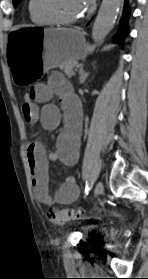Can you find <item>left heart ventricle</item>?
<instances>
[{
	"label": "left heart ventricle",
	"mask_w": 148,
	"mask_h": 279,
	"mask_svg": "<svg viewBox=\"0 0 148 279\" xmlns=\"http://www.w3.org/2000/svg\"><path fill=\"white\" fill-rule=\"evenodd\" d=\"M41 7L55 13L62 18H74L81 16L83 10L80 0H40Z\"/></svg>",
	"instance_id": "b2bd125f"
}]
</instances>
